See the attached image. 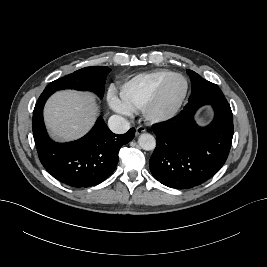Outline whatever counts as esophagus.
<instances>
[{"mask_svg": "<svg viewBox=\"0 0 267 267\" xmlns=\"http://www.w3.org/2000/svg\"><path fill=\"white\" fill-rule=\"evenodd\" d=\"M146 131V129L143 126H138L136 128V135H140L142 133H144Z\"/></svg>", "mask_w": 267, "mask_h": 267, "instance_id": "esophagus-1", "label": "esophagus"}]
</instances>
